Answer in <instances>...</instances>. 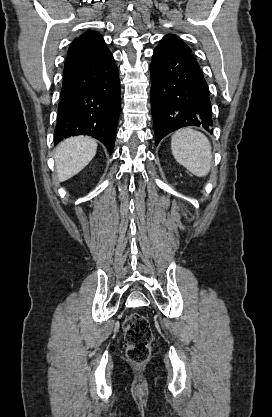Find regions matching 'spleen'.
I'll use <instances>...</instances> for the list:
<instances>
[{
  "mask_svg": "<svg viewBox=\"0 0 272 417\" xmlns=\"http://www.w3.org/2000/svg\"><path fill=\"white\" fill-rule=\"evenodd\" d=\"M171 150L176 161L192 174L204 177L209 173L211 144L204 134L192 128L179 129L172 135Z\"/></svg>",
  "mask_w": 272,
  "mask_h": 417,
  "instance_id": "spleen-1",
  "label": "spleen"
}]
</instances>
